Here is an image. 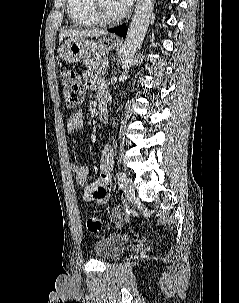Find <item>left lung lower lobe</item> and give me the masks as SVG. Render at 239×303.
Returning a JSON list of instances; mask_svg holds the SVG:
<instances>
[{"instance_id": "left-lung-lower-lobe-1", "label": "left lung lower lobe", "mask_w": 239, "mask_h": 303, "mask_svg": "<svg viewBox=\"0 0 239 303\" xmlns=\"http://www.w3.org/2000/svg\"><path fill=\"white\" fill-rule=\"evenodd\" d=\"M108 31L110 32H114L116 33L117 35L125 38L126 36V33H127V27H126V24H123L119 27H115V28H112V29H108Z\"/></svg>"}]
</instances>
